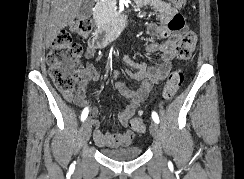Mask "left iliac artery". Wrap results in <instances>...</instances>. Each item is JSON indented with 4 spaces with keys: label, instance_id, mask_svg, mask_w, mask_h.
<instances>
[{
    "label": "left iliac artery",
    "instance_id": "1",
    "mask_svg": "<svg viewBox=\"0 0 244 179\" xmlns=\"http://www.w3.org/2000/svg\"><path fill=\"white\" fill-rule=\"evenodd\" d=\"M152 119L154 120V122H156L157 124L159 123V117L157 115V113L155 111L152 112Z\"/></svg>",
    "mask_w": 244,
    "mask_h": 179
}]
</instances>
